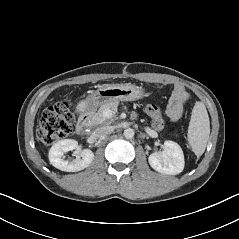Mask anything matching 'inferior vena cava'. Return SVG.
<instances>
[{"label":"inferior vena cava","instance_id":"obj_1","mask_svg":"<svg viewBox=\"0 0 239 239\" xmlns=\"http://www.w3.org/2000/svg\"><path fill=\"white\" fill-rule=\"evenodd\" d=\"M114 131V127L113 126H102L100 128H98L95 132V137H100L103 135H107L110 134Z\"/></svg>","mask_w":239,"mask_h":239}]
</instances>
